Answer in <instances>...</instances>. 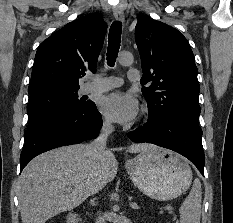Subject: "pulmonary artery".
<instances>
[{
    "mask_svg": "<svg viewBox=\"0 0 233 223\" xmlns=\"http://www.w3.org/2000/svg\"><path fill=\"white\" fill-rule=\"evenodd\" d=\"M138 75H141V70L130 69L128 72V78L131 81L138 80ZM91 79L93 82L88 85L87 90L88 92L95 93H102L111 90L112 88L118 86L122 82V79L117 77L102 78L100 76H94Z\"/></svg>",
    "mask_w": 233,
    "mask_h": 223,
    "instance_id": "pulmonary-artery-1",
    "label": "pulmonary artery"
}]
</instances>
